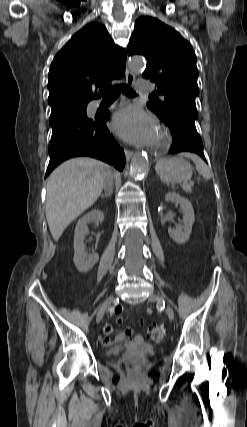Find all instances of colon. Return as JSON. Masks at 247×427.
<instances>
[{
	"label": "colon",
	"instance_id": "5ec220e1",
	"mask_svg": "<svg viewBox=\"0 0 247 427\" xmlns=\"http://www.w3.org/2000/svg\"><path fill=\"white\" fill-rule=\"evenodd\" d=\"M147 335L154 341H160L165 336V330L161 326L151 325L147 329ZM127 367L129 370H134L136 368V363L134 361H129Z\"/></svg>",
	"mask_w": 247,
	"mask_h": 427
}]
</instances>
